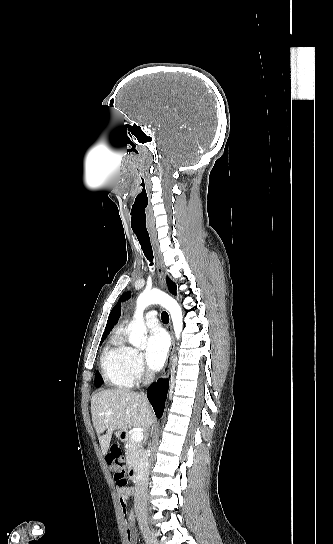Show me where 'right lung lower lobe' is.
<instances>
[{
  "label": "right lung lower lobe",
  "mask_w": 333,
  "mask_h": 544,
  "mask_svg": "<svg viewBox=\"0 0 333 544\" xmlns=\"http://www.w3.org/2000/svg\"><path fill=\"white\" fill-rule=\"evenodd\" d=\"M169 380H158L153 383L147 390L148 399L158 418L162 416L164 411L165 400L168 392Z\"/></svg>",
  "instance_id": "right-lung-lower-lobe-1"
}]
</instances>
